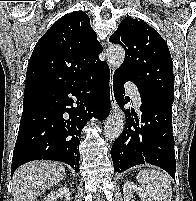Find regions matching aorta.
I'll list each match as a JSON object with an SVG mask.
<instances>
[{
    "instance_id": "762f6f07",
    "label": "aorta",
    "mask_w": 196,
    "mask_h": 201,
    "mask_svg": "<svg viewBox=\"0 0 196 201\" xmlns=\"http://www.w3.org/2000/svg\"><path fill=\"white\" fill-rule=\"evenodd\" d=\"M107 62L110 67L119 68L125 58V51L120 45H111L106 52ZM124 127V115L121 111H116L106 121L105 137L110 140H115L122 132Z\"/></svg>"
}]
</instances>
